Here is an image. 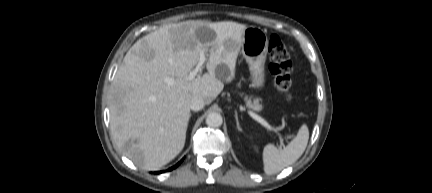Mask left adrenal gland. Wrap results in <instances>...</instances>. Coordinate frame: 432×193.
Listing matches in <instances>:
<instances>
[{"label": "left adrenal gland", "instance_id": "a2214340", "mask_svg": "<svg viewBox=\"0 0 432 193\" xmlns=\"http://www.w3.org/2000/svg\"><path fill=\"white\" fill-rule=\"evenodd\" d=\"M235 120H236V125H237L238 131H242L240 124H239L238 115H237L236 111H235Z\"/></svg>", "mask_w": 432, "mask_h": 193}]
</instances>
